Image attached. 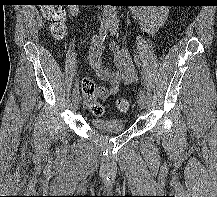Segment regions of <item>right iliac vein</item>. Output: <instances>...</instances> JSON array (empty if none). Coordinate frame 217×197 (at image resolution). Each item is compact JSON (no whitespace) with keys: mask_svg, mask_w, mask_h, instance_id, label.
I'll return each instance as SVG.
<instances>
[{"mask_svg":"<svg viewBox=\"0 0 217 197\" xmlns=\"http://www.w3.org/2000/svg\"><path fill=\"white\" fill-rule=\"evenodd\" d=\"M78 104H79V98L72 100V108H73V110L78 109Z\"/></svg>","mask_w":217,"mask_h":197,"instance_id":"right-iliac-vein-1","label":"right iliac vein"}]
</instances>
